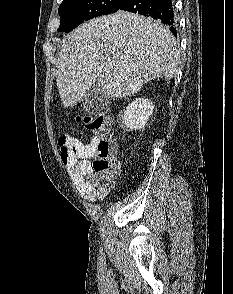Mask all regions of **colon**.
I'll use <instances>...</instances> for the list:
<instances>
[{"instance_id":"5ec220e1","label":"colon","mask_w":233,"mask_h":294,"mask_svg":"<svg viewBox=\"0 0 233 294\" xmlns=\"http://www.w3.org/2000/svg\"><path fill=\"white\" fill-rule=\"evenodd\" d=\"M93 135V148L90 154L96 182L107 184L118 172V163L115 158L116 146L108 134V120L103 116H78ZM67 147H61V158L66 159Z\"/></svg>"}]
</instances>
